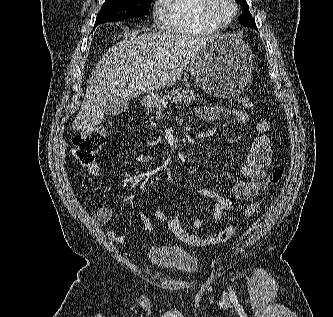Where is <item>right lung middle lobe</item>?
Here are the masks:
<instances>
[{
  "label": "right lung middle lobe",
  "mask_w": 333,
  "mask_h": 317,
  "mask_svg": "<svg viewBox=\"0 0 333 317\" xmlns=\"http://www.w3.org/2000/svg\"><path fill=\"white\" fill-rule=\"evenodd\" d=\"M152 0H105L97 15L95 26L136 16H143L149 10Z\"/></svg>",
  "instance_id": "1"
}]
</instances>
